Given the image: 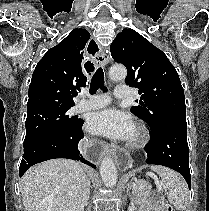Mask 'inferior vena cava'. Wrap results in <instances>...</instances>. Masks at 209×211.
Wrapping results in <instances>:
<instances>
[{
  "label": "inferior vena cava",
  "mask_w": 209,
  "mask_h": 211,
  "mask_svg": "<svg viewBox=\"0 0 209 211\" xmlns=\"http://www.w3.org/2000/svg\"><path fill=\"white\" fill-rule=\"evenodd\" d=\"M90 195V182L89 179L87 178L84 182L83 185V191H82V202L85 204L87 203Z\"/></svg>",
  "instance_id": "602c4592"
}]
</instances>
